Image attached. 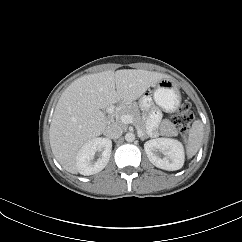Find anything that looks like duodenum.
I'll return each instance as SVG.
<instances>
[{
  "instance_id": "duodenum-1",
  "label": "duodenum",
  "mask_w": 242,
  "mask_h": 242,
  "mask_svg": "<svg viewBox=\"0 0 242 242\" xmlns=\"http://www.w3.org/2000/svg\"><path fill=\"white\" fill-rule=\"evenodd\" d=\"M112 112H113V107H109V108H108V113H109V114H112Z\"/></svg>"
}]
</instances>
